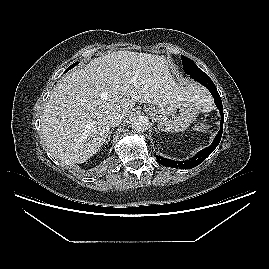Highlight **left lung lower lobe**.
<instances>
[{
	"instance_id": "obj_1",
	"label": "left lung lower lobe",
	"mask_w": 269,
	"mask_h": 269,
	"mask_svg": "<svg viewBox=\"0 0 269 269\" xmlns=\"http://www.w3.org/2000/svg\"><path fill=\"white\" fill-rule=\"evenodd\" d=\"M190 77L194 79L195 81L199 82L200 84L204 85L211 92L212 96L214 97V102L216 106L218 107V109L220 110L221 128L218 134L216 135L215 139L213 140V143L209 147L199 151L194 157H192L191 159L187 161H174V160L163 158L161 156H157L156 157L157 162L163 166L172 167V168H180V169H191V168L196 167L197 165L202 163L204 159H206L215 150L222 136L224 114H223L222 101H221V98L217 91L216 86L214 85L212 80L209 78V76L203 71L194 73L190 75Z\"/></svg>"
}]
</instances>
